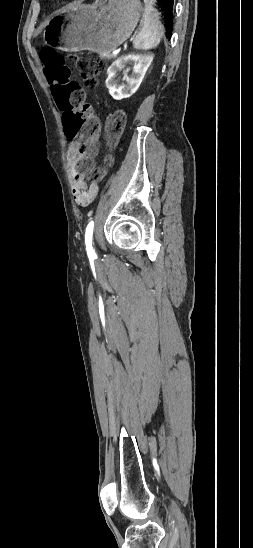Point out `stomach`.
<instances>
[{"label":"stomach","mask_w":253,"mask_h":548,"mask_svg":"<svg viewBox=\"0 0 253 548\" xmlns=\"http://www.w3.org/2000/svg\"><path fill=\"white\" fill-rule=\"evenodd\" d=\"M142 12L139 0H96L56 14L43 37L49 45L69 52L111 53L130 37Z\"/></svg>","instance_id":"stomach-1"}]
</instances>
